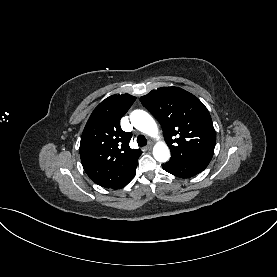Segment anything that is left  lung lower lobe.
Here are the masks:
<instances>
[{"mask_svg": "<svg viewBox=\"0 0 277 277\" xmlns=\"http://www.w3.org/2000/svg\"><path fill=\"white\" fill-rule=\"evenodd\" d=\"M209 163L197 160H180L173 159L162 164L165 171L180 177V178H190L202 172Z\"/></svg>", "mask_w": 277, "mask_h": 277, "instance_id": "1", "label": "left lung lower lobe"}]
</instances>
